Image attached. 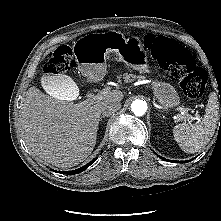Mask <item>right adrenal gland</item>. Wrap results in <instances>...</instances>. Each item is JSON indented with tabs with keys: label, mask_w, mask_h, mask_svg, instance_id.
I'll return each mask as SVG.
<instances>
[{
	"label": "right adrenal gland",
	"mask_w": 221,
	"mask_h": 221,
	"mask_svg": "<svg viewBox=\"0 0 221 221\" xmlns=\"http://www.w3.org/2000/svg\"><path fill=\"white\" fill-rule=\"evenodd\" d=\"M104 117L102 116V117H100V121H102V119H103Z\"/></svg>",
	"instance_id": "2a0ac1e0"
}]
</instances>
